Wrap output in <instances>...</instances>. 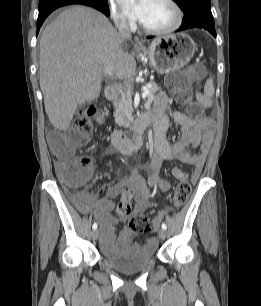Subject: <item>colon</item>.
Wrapping results in <instances>:
<instances>
[{"label":"colon","mask_w":261,"mask_h":306,"mask_svg":"<svg viewBox=\"0 0 261 306\" xmlns=\"http://www.w3.org/2000/svg\"><path fill=\"white\" fill-rule=\"evenodd\" d=\"M204 72L201 66H192L186 70L175 72L167 76L166 82L174 94L177 103H187L192 98V86L203 78ZM197 115L198 110L194 109ZM101 116V110L95 105L87 106L76 119L75 124L52 139V147L55 156L66 163L59 176L62 182L70 187H79L85 183L89 176L90 161L85 157H75L74 154L84 148L90 141L94 121ZM179 183L173 193V202L176 206H182L188 200L191 186L186 180V173L180 171ZM131 193L126 191L118 204L116 213L118 216L129 217V228L135 233H147L150 230L148 219L142 215L131 214Z\"/></svg>","instance_id":"obj_1"}]
</instances>
